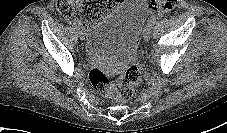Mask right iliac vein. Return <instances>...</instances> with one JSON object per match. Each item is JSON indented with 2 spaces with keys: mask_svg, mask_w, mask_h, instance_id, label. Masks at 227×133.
Segmentation results:
<instances>
[{
  "mask_svg": "<svg viewBox=\"0 0 227 133\" xmlns=\"http://www.w3.org/2000/svg\"><path fill=\"white\" fill-rule=\"evenodd\" d=\"M78 36H79V38L81 40H84L85 39V35H84V33L80 29H78Z\"/></svg>",
  "mask_w": 227,
  "mask_h": 133,
  "instance_id": "1",
  "label": "right iliac vein"
}]
</instances>
